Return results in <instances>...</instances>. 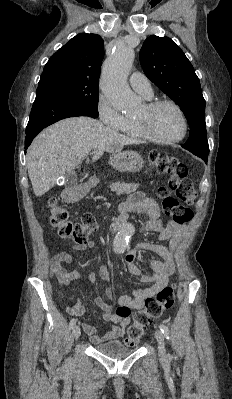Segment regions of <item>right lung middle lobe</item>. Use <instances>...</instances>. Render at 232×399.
Masks as SVG:
<instances>
[{
  "label": "right lung middle lobe",
  "instance_id": "right-lung-middle-lobe-1",
  "mask_svg": "<svg viewBox=\"0 0 232 399\" xmlns=\"http://www.w3.org/2000/svg\"><path fill=\"white\" fill-rule=\"evenodd\" d=\"M98 84L80 83L66 78L40 80L37 94H49L77 103L98 113Z\"/></svg>",
  "mask_w": 232,
  "mask_h": 399
}]
</instances>
